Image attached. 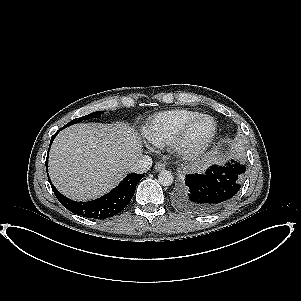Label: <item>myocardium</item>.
<instances>
[{
    "instance_id": "1",
    "label": "myocardium",
    "mask_w": 301,
    "mask_h": 301,
    "mask_svg": "<svg viewBox=\"0 0 301 301\" xmlns=\"http://www.w3.org/2000/svg\"><path fill=\"white\" fill-rule=\"evenodd\" d=\"M202 120H209L212 128L210 134L201 142L194 143L189 140V135L193 127ZM217 133L215 119L207 114H200L187 123L171 143L173 152L180 158L193 160L204 154L212 144Z\"/></svg>"
}]
</instances>
